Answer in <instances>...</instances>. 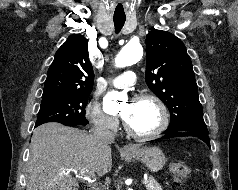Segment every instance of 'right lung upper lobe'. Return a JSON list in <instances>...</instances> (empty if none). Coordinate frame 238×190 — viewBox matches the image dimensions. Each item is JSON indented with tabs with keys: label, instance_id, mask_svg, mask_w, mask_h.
<instances>
[{
	"label": "right lung upper lobe",
	"instance_id": "cb5924a9",
	"mask_svg": "<svg viewBox=\"0 0 238 190\" xmlns=\"http://www.w3.org/2000/svg\"><path fill=\"white\" fill-rule=\"evenodd\" d=\"M93 78V68L88 60V39L81 34H73L55 53L42 97L90 94Z\"/></svg>",
	"mask_w": 238,
	"mask_h": 190
}]
</instances>
